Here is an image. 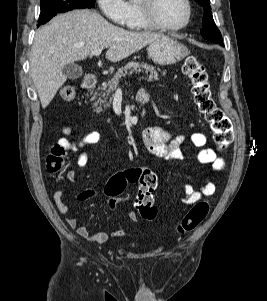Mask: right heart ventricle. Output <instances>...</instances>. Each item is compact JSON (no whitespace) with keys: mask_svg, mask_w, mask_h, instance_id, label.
<instances>
[{"mask_svg":"<svg viewBox=\"0 0 267 301\" xmlns=\"http://www.w3.org/2000/svg\"><path fill=\"white\" fill-rule=\"evenodd\" d=\"M129 29L133 30H148L152 29L149 27L141 18L136 3H130V17L127 23Z\"/></svg>","mask_w":267,"mask_h":301,"instance_id":"e07e8e85","label":"right heart ventricle"}]
</instances>
